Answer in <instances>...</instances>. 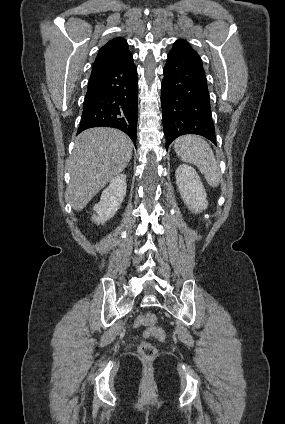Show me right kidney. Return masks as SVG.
Returning a JSON list of instances; mask_svg holds the SVG:
<instances>
[{
    "mask_svg": "<svg viewBox=\"0 0 285 424\" xmlns=\"http://www.w3.org/2000/svg\"><path fill=\"white\" fill-rule=\"evenodd\" d=\"M126 188L125 174H119L110 181L101 194L100 202L93 207L95 213L92 220L95 223L104 224L115 215L124 200Z\"/></svg>",
    "mask_w": 285,
    "mask_h": 424,
    "instance_id": "obj_1",
    "label": "right kidney"
}]
</instances>
